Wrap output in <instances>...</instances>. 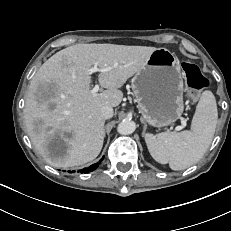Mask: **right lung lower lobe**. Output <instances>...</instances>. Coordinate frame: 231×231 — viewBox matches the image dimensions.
Wrapping results in <instances>:
<instances>
[{"label":"right lung lower lobe","mask_w":231,"mask_h":231,"mask_svg":"<svg viewBox=\"0 0 231 231\" xmlns=\"http://www.w3.org/2000/svg\"><path fill=\"white\" fill-rule=\"evenodd\" d=\"M102 160H103V158L99 162H97L96 164H93L87 168H84L83 170H80V172L81 173H88V172L94 171L99 166V164L101 163Z\"/></svg>","instance_id":"1"}]
</instances>
